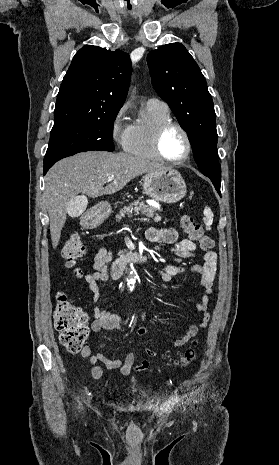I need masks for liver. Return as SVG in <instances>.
<instances>
[{"label": "liver", "mask_w": 279, "mask_h": 465, "mask_svg": "<svg viewBox=\"0 0 279 465\" xmlns=\"http://www.w3.org/2000/svg\"><path fill=\"white\" fill-rule=\"evenodd\" d=\"M160 165L126 153L88 151L62 159L45 176L44 205L50 219L52 247L60 241L69 201L82 193L91 198L114 194L132 179L160 171ZM114 179L108 182L107 178ZM85 208L87 206V198Z\"/></svg>", "instance_id": "6515ba94"}]
</instances>
